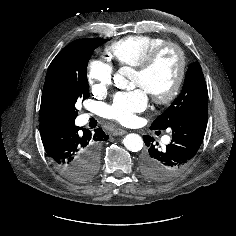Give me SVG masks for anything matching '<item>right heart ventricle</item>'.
Instances as JSON below:
<instances>
[{"label":"right heart ventricle","instance_id":"1","mask_svg":"<svg viewBox=\"0 0 236 236\" xmlns=\"http://www.w3.org/2000/svg\"><path fill=\"white\" fill-rule=\"evenodd\" d=\"M167 42L162 37L132 35L111 43L106 53L118 65L136 67L153 49Z\"/></svg>","mask_w":236,"mask_h":236}]
</instances>
